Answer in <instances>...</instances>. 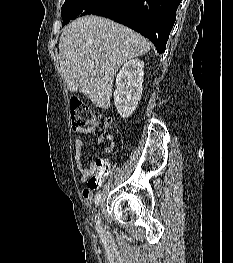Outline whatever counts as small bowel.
Wrapping results in <instances>:
<instances>
[{"instance_id": "obj_1", "label": "small bowel", "mask_w": 233, "mask_h": 263, "mask_svg": "<svg viewBox=\"0 0 233 263\" xmlns=\"http://www.w3.org/2000/svg\"><path fill=\"white\" fill-rule=\"evenodd\" d=\"M79 133L83 135H92L96 131L92 127L88 128H82L78 130ZM97 142L100 144L107 143L104 146V151L106 153H109L113 150L114 148V138L112 135H105V134H100L97 136ZM84 149V142L81 139H76L75 140V150H76V155H75V163L77 169L81 173V180L82 182H88V180L95 175L96 173V161L91 162L88 166H84L82 162V152ZM101 184V183H100ZM96 189H89L88 187L84 189L83 191V196L86 202H91L94 196V191Z\"/></svg>"}]
</instances>
